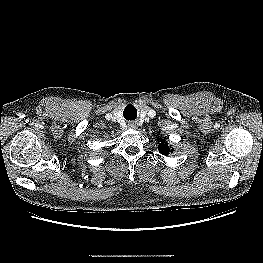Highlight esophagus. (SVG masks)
Wrapping results in <instances>:
<instances>
[{
	"instance_id": "obj_1",
	"label": "esophagus",
	"mask_w": 263,
	"mask_h": 263,
	"mask_svg": "<svg viewBox=\"0 0 263 263\" xmlns=\"http://www.w3.org/2000/svg\"><path fill=\"white\" fill-rule=\"evenodd\" d=\"M130 128H136V123L135 122H129L128 123Z\"/></svg>"
}]
</instances>
